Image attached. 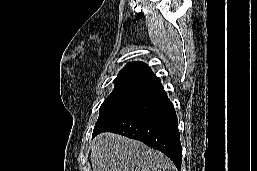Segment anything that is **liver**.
<instances>
[{
    "instance_id": "1",
    "label": "liver",
    "mask_w": 257,
    "mask_h": 171,
    "mask_svg": "<svg viewBox=\"0 0 257 171\" xmlns=\"http://www.w3.org/2000/svg\"><path fill=\"white\" fill-rule=\"evenodd\" d=\"M93 171H177L163 153L124 136L103 133L92 142Z\"/></svg>"
}]
</instances>
